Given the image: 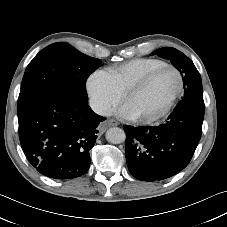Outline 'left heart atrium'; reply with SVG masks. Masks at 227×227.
I'll return each instance as SVG.
<instances>
[{
	"mask_svg": "<svg viewBox=\"0 0 227 227\" xmlns=\"http://www.w3.org/2000/svg\"><path fill=\"white\" fill-rule=\"evenodd\" d=\"M119 114L124 117V118H127V119H132L135 115L132 113V111L124 106L122 107L120 110H119Z\"/></svg>",
	"mask_w": 227,
	"mask_h": 227,
	"instance_id": "obj_1",
	"label": "left heart atrium"
}]
</instances>
